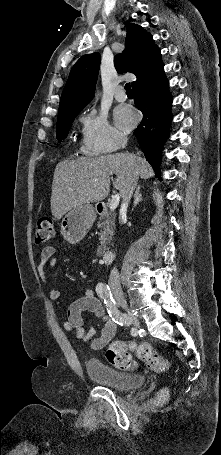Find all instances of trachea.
Returning <instances> with one entry per match:
<instances>
[{
  "label": "trachea",
  "mask_w": 221,
  "mask_h": 455,
  "mask_svg": "<svg viewBox=\"0 0 221 455\" xmlns=\"http://www.w3.org/2000/svg\"><path fill=\"white\" fill-rule=\"evenodd\" d=\"M125 90H126L127 93H133L130 83H127L125 85Z\"/></svg>",
  "instance_id": "trachea-1"
}]
</instances>
